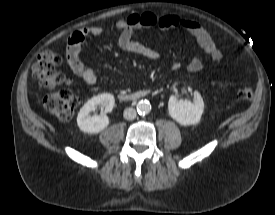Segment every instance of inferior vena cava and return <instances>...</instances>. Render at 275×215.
<instances>
[{
  "instance_id": "obj_1",
  "label": "inferior vena cava",
  "mask_w": 275,
  "mask_h": 215,
  "mask_svg": "<svg viewBox=\"0 0 275 215\" xmlns=\"http://www.w3.org/2000/svg\"><path fill=\"white\" fill-rule=\"evenodd\" d=\"M123 116L127 120H133L136 117V110L134 108H126L123 112Z\"/></svg>"
}]
</instances>
